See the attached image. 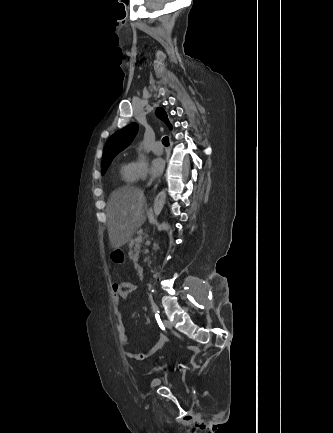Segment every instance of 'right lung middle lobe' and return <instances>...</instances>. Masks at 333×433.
I'll list each match as a JSON object with an SVG mask.
<instances>
[{"instance_id": "dd1d6c3e", "label": "right lung middle lobe", "mask_w": 333, "mask_h": 433, "mask_svg": "<svg viewBox=\"0 0 333 433\" xmlns=\"http://www.w3.org/2000/svg\"><path fill=\"white\" fill-rule=\"evenodd\" d=\"M112 159H110L109 161L102 163V175L105 174L107 168L109 167L110 163H111Z\"/></svg>"}]
</instances>
